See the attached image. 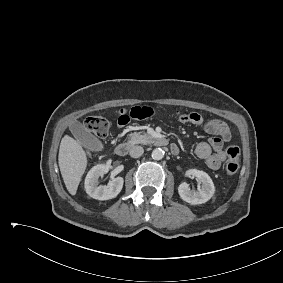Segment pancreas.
Returning <instances> with one entry per match:
<instances>
[{
  "label": "pancreas",
  "mask_w": 283,
  "mask_h": 283,
  "mask_svg": "<svg viewBox=\"0 0 283 283\" xmlns=\"http://www.w3.org/2000/svg\"><path fill=\"white\" fill-rule=\"evenodd\" d=\"M128 144L129 145H134V144H148L152 137L146 133H142V132H134L129 134L128 137Z\"/></svg>",
  "instance_id": "obj_1"
}]
</instances>
